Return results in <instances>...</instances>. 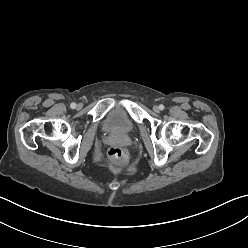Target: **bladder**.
Wrapping results in <instances>:
<instances>
[{"mask_svg":"<svg viewBox=\"0 0 248 248\" xmlns=\"http://www.w3.org/2000/svg\"><path fill=\"white\" fill-rule=\"evenodd\" d=\"M136 124L130 117L126 103L112 106L102 121V129L110 134H129L134 131Z\"/></svg>","mask_w":248,"mask_h":248,"instance_id":"obj_1","label":"bladder"}]
</instances>
